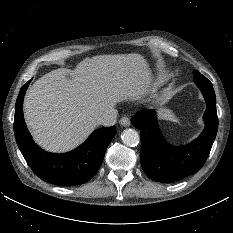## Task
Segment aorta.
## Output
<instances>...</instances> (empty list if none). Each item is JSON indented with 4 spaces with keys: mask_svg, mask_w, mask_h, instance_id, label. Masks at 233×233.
<instances>
[{
    "mask_svg": "<svg viewBox=\"0 0 233 233\" xmlns=\"http://www.w3.org/2000/svg\"><path fill=\"white\" fill-rule=\"evenodd\" d=\"M121 139L126 146L133 147L138 145L140 136L134 129H125L121 135Z\"/></svg>",
    "mask_w": 233,
    "mask_h": 233,
    "instance_id": "aorta-1",
    "label": "aorta"
}]
</instances>
